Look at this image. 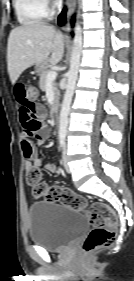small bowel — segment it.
Returning a JSON list of instances; mask_svg holds the SVG:
<instances>
[{
	"instance_id": "obj_1",
	"label": "small bowel",
	"mask_w": 134,
	"mask_h": 281,
	"mask_svg": "<svg viewBox=\"0 0 134 281\" xmlns=\"http://www.w3.org/2000/svg\"><path fill=\"white\" fill-rule=\"evenodd\" d=\"M27 88V85L21 81L14 84V95L19 105L18 114L22 125L21 148L27 159L26 167L30 169L43 166L48 172L55 173L56 165L43 164L36 150V146L45 143L50 136L49 128L43 123L46 109L41 103L28 100Z\"/></svg>"
}]
</instances>
